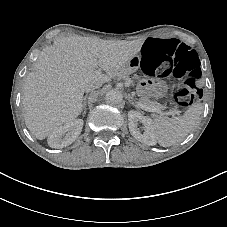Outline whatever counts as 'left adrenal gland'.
I'll return each mask as SVG.
<instances>
[{"label":"left adrenal gland","instance_id":"obj_1","mask_svg":"<svg viewBox=\"0 0 227 227\" xmlns=\"http://www.w3.org/2000/svg\"><path fill=\"white\" fill-rule=\"evenodd\" d=\"M129 102H130V104L132 106H134L135 108L139 109L138 105L135 102L132 101V98L131 97L129 98Z\"/></svg>","mask_w":227,"mask_h":227}]
</instances>
